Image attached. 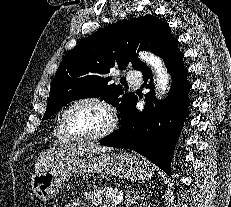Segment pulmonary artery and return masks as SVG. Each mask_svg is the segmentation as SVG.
Segmentation results:
<instances>
[{
    "label": "pulmonary artery",
    "mask_w": 231,
    "mask_h": 207,
    "mask_svg": "<svg viewBox=\"0 0 231 207\" xmlns=\"http://www.w3.org/2000/svg\"><path fill=\"white\" fill-rule=\"evenodd\" d=\"M126 78L131 84H134V85H137L141 82L140 73L134 70H128L126 72Z\"/></svg>",
    "instance_id": "obj_1"
}]
</instances>
